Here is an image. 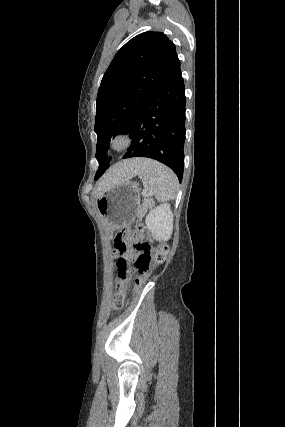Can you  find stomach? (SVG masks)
<instances>
[{
    "label": "stomach",
    "instance_id": "obj_1",
    "mask_svg": "<svg viewBox=\"0 0 285 427\" xmlns=\"http://www.w3.org/2000/svg\"><path fill=\"white\" fill-rule=\"evenodd\" d=\"M139 204V189L129 180L112 185L96 199L97 210L110 230L132 223L138 215Z\"/></svg>",
    "mask_w": 285,
    "mask_h": 427
}]
</instances>
